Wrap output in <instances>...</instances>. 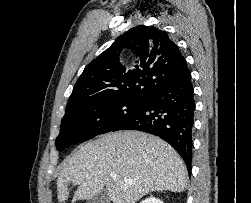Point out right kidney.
<instances>
[{
    "mask_svg": "<svg viewBox=\"0 0 251 203\" xmlns=\"http://www.w3.org/2000/svg\"><path fill=\"white\" fill-rule=\"evenodd\" d=\"M140 203H163L159 198L150 196L149 198H146L145 200L141 201Z\"/></svg>",
    "mask_w": 251,
    "mask_h": 203,
    "instance_id": "right-kidney-1",
    "label": "right kidney"
}]
</instances>
